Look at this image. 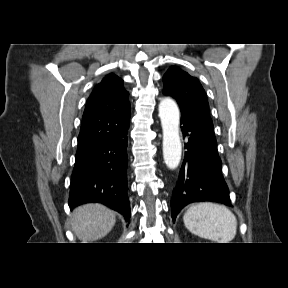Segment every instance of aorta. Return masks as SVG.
I'll use <instances>...</instances> for the list:
<instances>
[{"instance_id": "obj_1", "label": "aorta", "mask_w": 288, "mask_h": 288, "mask_svg": "<svg viewBox=\"0 0 288 288\" xmlns=\"http://www.w3.org/2000/svg\"><path fill=\"white\" fill-rule=\"evenodd\" d=\"M159 117L163 131L164 162L169 169H175L181 160L182 145L179 136V109L174 100H161Z\"/></svg>"}]
</instances>
